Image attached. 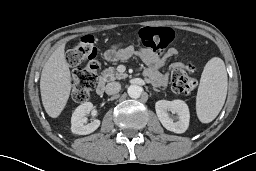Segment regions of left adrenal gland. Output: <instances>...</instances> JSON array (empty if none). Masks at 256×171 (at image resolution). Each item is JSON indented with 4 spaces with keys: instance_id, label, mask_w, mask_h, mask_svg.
<instances>
[{
    "instance_id": "obj_1",
    "label": "left adrenal gland",
    "mask_w": 256,
    "mask_h": 171,
    "mask_svg": "<svg viewBox=\"0 0 256 171\" xmlns=\"http://www.w3.org/2000/svg\"><path fill=\"white\" fill-rule=\"evenodd\" d=\"M153 90L154 91H157V92H159L160 90H158L157 88H155V87H153Z\"/></svg>"
}]
</instances>
